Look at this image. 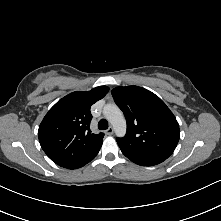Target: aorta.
Wrapping results in <instances>:
<instances>
[{"mask_svg":"<svg viewBox=\"0 0 221 221\" xmlns=\"http://www.w3.org/2000/svg\"><path fill=\"white\" fill-rule=\"evenodd\" d=\"M103 114L113 126L116 135L123 137L126 133V120L120 108L116 104H106Z\"/></svg>","mask_w":221,"mask_h":221,"instance_id":"1","label":"aorta"}]
</instances>
